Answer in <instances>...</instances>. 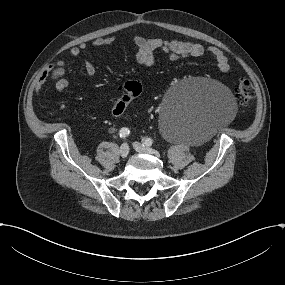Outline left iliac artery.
Segmentation results:
<instances>
[{
  "mask_svg": "<svg viewBox=\"0 0 285 285\" xmlns=\"http://www.w3.org/2000/svg\"><path fill=\"white\" fill-rule=\"evenodd\" d=\"M153 144V140L151 138H145L144 139V145L149 147Z\"/></svg>",
  "mask_w": 285,
  "mask_h": 285,
  "instance_id": "44dca946",
  "label": "left iliac artery"
}]
</instances>
